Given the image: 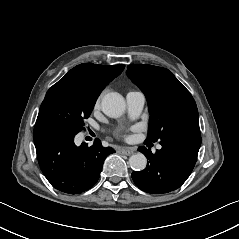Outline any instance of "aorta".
I'll return each instance as SVG.
<instances>
[{
  "instance_id": "obj_1",
  "label": "aorta",
  "mask_w": 239,
  "mask_h": 239,
  "mask_svg": "<svg viewBox=\"0 0 239 239\" xmlns=\"http://www.w3.org/2000/svg\"><path fill=\"white\" fill-rule=\"evenodd\" d=\"M102 111L111 118L120 117L126 108L123 96L118 92H108L101 100ZM129 164L133 170L142 171L146 168L147 159L142 153H136L129 159Z\"/></svg>"
}]
</instances>
